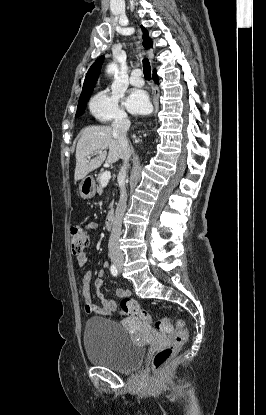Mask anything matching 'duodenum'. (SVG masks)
<instances>
[{"label":"duodenum","instance_id":"410a0bca","mask_svg":"<svg viewBox=\"0 0 266 415\" xmlns=\"http://www.w3.org/2000/svg\"><path fill=\"white\" fill-rule=\"evenodd\" d=\"M113 221H114V212L113 211H109L105 217V227L107 229H111L113 226Z\"/></svg>","mask_w":266,"mask_h":415}]
</instances>
